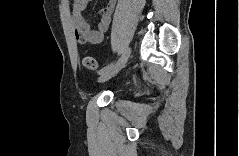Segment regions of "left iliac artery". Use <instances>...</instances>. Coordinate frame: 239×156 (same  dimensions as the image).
I'll list each match as a JSON object with an SVG mask.
<instances>
[{"label": "left iliac artery", "mask_w": 239, "mask_h": 156, "mask_svg": "<svg viewBox=\"0 0 239 156\" xmlns=\"http://www.w3.org/2000/svg\"><path fill=\"white\" fill-rule=\"evenodd\" d=\"M114 64H115V63L112 62V63H110V64L104 66V67L101 68L97 73H98L99 75L103 74L105 71H107L109 68H111Z\"/></svg>", "instance_id": "44dca946"}]
</instances>
